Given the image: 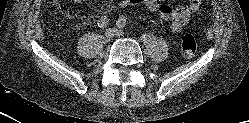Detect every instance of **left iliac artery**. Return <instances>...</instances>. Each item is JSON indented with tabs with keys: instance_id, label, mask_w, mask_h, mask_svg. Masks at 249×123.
Wrapping results in <instances>:
<instances>
[{
	"instance_id": "left-iliac-artery-1",
	"label": "left iliac artery",
	"mask_w": 249,
	"mask_h": 123,
	"mask_svg": "<svg viewBox=\"0 0 249 123\" xmlns=\"http://www.w3.org/2000/svg\"><path fill=\"white\" fill-rule=\"evenodd\" d=\"M126 23H127L126 18L123 17V16H121V17L117 20L116 25H117V27H119V28H124L125 25H126Z\"/></svg>"
}]
</instances>
